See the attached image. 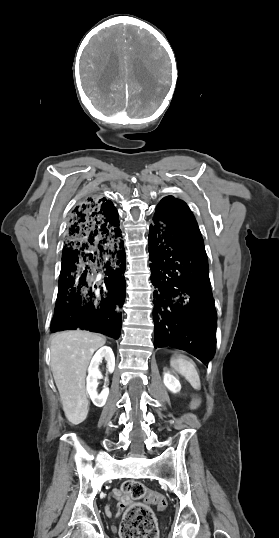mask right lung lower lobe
I'll use <instances>...</instances> for the list:
<instances>
[{
	"mask_svg": "<svg viewBox=\"0 0 279 538\" xmlns=\"http://www.w3.org/2000/svg\"><path fill=\"white\" fill-rule=\"evenodd\" d=\"M125 266L113 203L93 197L77 205L68 222L51 332L79 328L117 338L126 294Z\"/></svg>",
	"mask_w": 279,
	"mask_h": 538,
	"instance_id": "1",
	"label": "right lung lower lobe"
}]
</instances>
